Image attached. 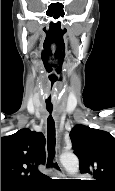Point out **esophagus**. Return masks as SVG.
<instances>
[{
    "label": "esophagus",
    "mask_w": 115,
    "mask_h": 191,
    "mask_svg": "<svg viewBox=\"0 0 115 191\" xmlns=\"http://www.w3.org/2000/svg\"><path fill=\"white\" fill-rule=\"evenodd\" d=\"M57 174L59 177H64V172L63 171H57Z\"/></svg>",
    "instance_id": "obj_1"
}]
</instances>
